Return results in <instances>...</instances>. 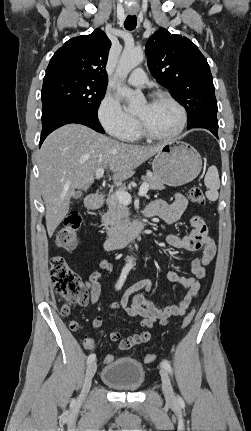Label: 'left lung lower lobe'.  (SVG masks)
<instances>
[{"instance_id":"1","label":"left lung lower lobe","mask_w":251,"mask_h":431,"mask_svg":"<svg viewBox=\"0 0 251 431\" xmlns=\"http://www.w3.org/2000/svg\"><path fill=\"white\" fill-rule=\"evenodd\" d=\"M200 127L208 129L218 138V127H207V126H200Z\"/></svg>"}]
</instances>
